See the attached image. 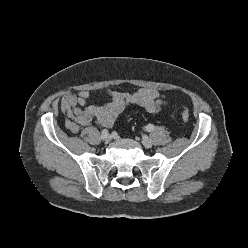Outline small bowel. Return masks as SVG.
Returning <instances> with one entry per match:
<instances>
[{
    "mask_svg": "<svg viewBox=\"0 0 248 248\" xmlns=\"http://www.w3.org/2000/svg\"><path fill=\"white\" fill-rule=\"evenodd\" d=\"M90 91L65 94L60 101V109L66 114V128L76 134L83 126L97 123L112 126L119 114L129 105H137L149 113H158L169 106L167 97L155 89L141 88L135 92L106 91L109 101L102 106L89 103Z\"/></svg>",
    "mask_w": 248,
    "mask_h": 248,
    "instance_id": "1",
    "label": "small bowel"
}]
</instances>
